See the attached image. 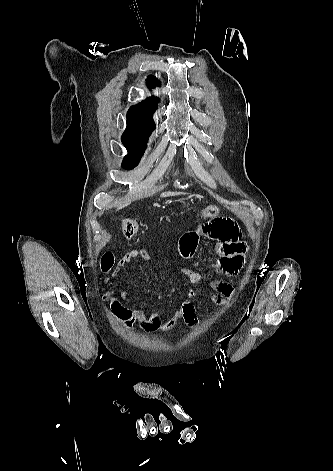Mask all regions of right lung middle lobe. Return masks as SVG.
Here are the masks:
<instances>
[{"label":"right lung middle lobe","mask_w":333,"mask_h":471,"mask_svg":"<svg viewBox=\"0 0 333 471\" xmlns=\"http://www.w3.org/2000/svg\"><path fill=\"white\" fill-rule=\"evenodd\" d=\"M151 133L152 132L149 131L125 130L121 140L129 153L124 157L122 162L124 169L130 170L138 165L146 149V143Z\"/></svg>","instance_id":"dd1d6c3e"}]
</instances>
